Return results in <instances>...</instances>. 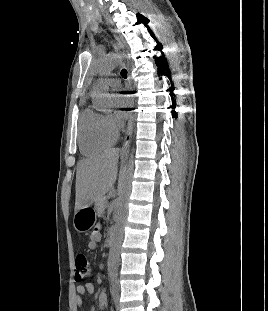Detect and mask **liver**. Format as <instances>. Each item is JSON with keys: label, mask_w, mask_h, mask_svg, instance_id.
<instances>
[{"label": "liver", "mask_w": 268, "mask_h": 311, "mask_svg": "<svg viewBox=\"0 0 268 311\" xmlns=\"http://www.w3.org/2000/svg\"><path fill=\"white\" fill-rule=\"evenodd\" d=\"M119 151L104 153L79 162L76 173L75 211L91 205L112 188L117 178Z\"/></svg>", "instance_id": "6515ba94"}]
</instances>
